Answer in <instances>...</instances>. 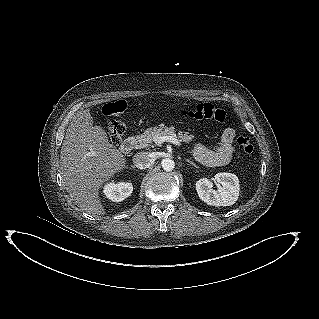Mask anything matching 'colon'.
I'll return each instance as SVG.
<instances>
[{
	"mask_svg": "<svg viewBox=\"0 0 319 319\" xmlns=\"http://www.w3.org/2000/svg\"><path fill=\"white\" fill-rule=\"evenodd\" d=\"M127 109L124 100L107 103L103 106L102 112L105 116L113 118L108 124L107 133L113 143H118L125 133L126 125L124 120L118 118L123 115ZM183 117L193 120H209L216 122H229L232 120V114L220 109L210 103H200L190 108L180 111ZM239 148L246 154L253 152V144L249 137L240 135L237 138Z\"/></svg>",
	"mask_w": 319,
	"mask_h": 319,
	"instance_id": "obj_1",
	"label": "colon"
}]
</instances>
